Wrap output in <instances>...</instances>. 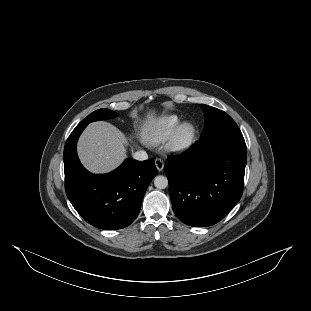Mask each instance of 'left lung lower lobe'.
I'll return each mask as SVG.
<instances>
[{"label":"left lung lower lobe","instance_id":"1","mask_svg":"<svg viewBox=\"0 0 311 311\" xmlns=\"http://www.w3.org/2000/svg\"><path fill=\"white\" fill-rule=\"evenodd\" d=\"M246 144L240 129L201 137L185 153L170 157L164 171L176 216L190 226L223 219L243 192Z\"/></svg>","mask_w":311,"mask_h":311}]
</instances>
